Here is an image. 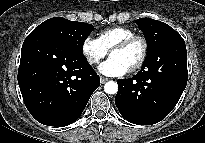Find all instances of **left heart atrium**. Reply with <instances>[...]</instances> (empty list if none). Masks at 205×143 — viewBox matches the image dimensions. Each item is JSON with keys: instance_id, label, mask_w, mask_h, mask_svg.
Instances as JSON below:
<instances>
[{"instance_id": "obj_1", "label": "left heart atrium", "mask_w": 205, "mask_h": 143, "mask_svg": "<svg viewBox=\"0 0 205 143\" xmlns=\"http://www.w3.org/2000/svg\"><path fill=\"white\" fill-rule=\"evenodd\" d=\"M98 69L102 74L111 77L123 76L129 71L126 65L112 57L100 64Z\"/></svg>"}]
</instances>
